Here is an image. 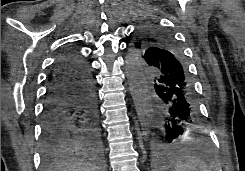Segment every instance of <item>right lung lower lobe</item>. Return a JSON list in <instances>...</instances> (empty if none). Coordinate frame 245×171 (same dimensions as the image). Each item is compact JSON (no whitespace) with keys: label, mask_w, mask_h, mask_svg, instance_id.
<instances>
[{"label":"right lung lower lobe","mask_w":245,"mask_h":171,"mask_svg":"<svg viewBox=\"0 0 245 171\" xmlns=\"http://www.w3.org/2000/svg\"><path fill=\"white\" fill-rule=\"evenodd\" d=\"M42 130L44 144L53 155L71 146L93 147L99 142L95 83L88 62L75 51L64 53L50 74Z\"/></svg>","instance_id":"right-lung-lower-lobe-1"}]
</instances>
